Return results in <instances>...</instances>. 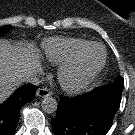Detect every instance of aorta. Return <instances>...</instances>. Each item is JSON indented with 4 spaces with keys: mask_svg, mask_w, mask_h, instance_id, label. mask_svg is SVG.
I'll list each match as a JSON object with an SVG mask.
<instances>
[{
    "mask_svg": "<svg viewBox=\"0 0 135 135\" xmlns=\"http://www.w3.org/2000/svg\"><path fill=\"white\" fill-rule=\"evenodd\" d=\"M57 106H58V103L56 99L51 96L44 97L41 103L42 110L48 114H52L56 112Z\"/></svg>",
    "mask_w": 135,
    "mask_h": 135,
    "instance_id": "obj_1",
    "label": "aorta"
}]
</instances>
